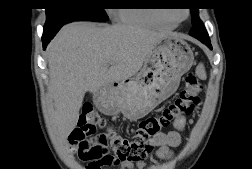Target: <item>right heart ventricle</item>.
Returning a JSON list of instances; mask_svg holds the SVG:
<instances>
[{
  "mask_svg": "<svg viewBox=\"0 0 252 169\" xmlns=\"http://www.w3.org/2000/svg\"><path fill=\"white\" fill-rule=\"evenodd\" d=\"M115 14L119 22L129 25L160 30H171L176 25L159 14L144 9L120 8L115 11Z\"/></svg>",
  "mask_w": 252,
  "mask_h": 169,
  "instance_id": "obj_1",
  "label": "right heart ventricle"
}]
</instances>
